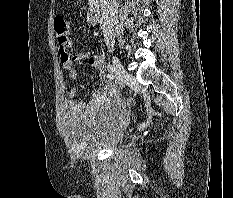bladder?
<instances>
[{"instance_id": "bladder-1", "label": "bladder", "mask_w": 233, "mask_h": 198, "mask_svg": "<svg viewBox=\"0 0 233 198\" xmlns=\"http://www.w3.org/2000/svg\"><path fill=\"white\" fill-rule=\"evenodd\" d=\"M129 112L121 102H111L88 113L68 110L62 128L69 146L79 153L116 150L125 139Z\"/></svg>"}]
</instances>
